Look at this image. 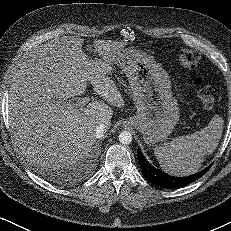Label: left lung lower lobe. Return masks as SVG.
<instances>
[{
    "label": "left lung lower lobe",
    "instance_id": "obj_1",
    "mask_svg": "<svg viewBox=\"0 0 231 231\" xmlns=\"http://www.w3.org/2000/svg\"><path fill=\"white\" fill-rule=\"evenodd\" d=\"M137 158L143 176L153 184L164 188H178L186 184H189L191 182H194L195 180L202 177L211 167L210 165L204 170L187 177H174V176H169L166 173L161 172L160 170L153 167L146 160L140 149H138Z\"/></svg>",
    "mask_w": 231,
    "mask_h": 231
}]
</instances>
